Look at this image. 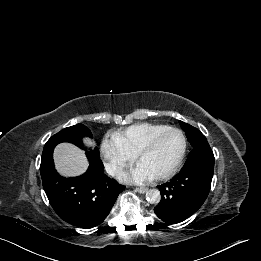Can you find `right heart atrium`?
Here are the masks:
<instances>
[{
  "instance_id": "1",
  "label": "right heart atrium",
  "mask_w": 261,
  "mask_h": 261,
  "mask_svg": "<svg viewBox=\"0 0 261 261\" xmlns=\"http://www.w3.org/2000/svg\"><path fill=\"white\" fill-rule=\"evenodd\" d=\"M101 152L105 159L106 168L113 176L121 174L125 167L134 160V156L128 153L113 136L102 140Z\"/></svg>"
}]
</instances>
